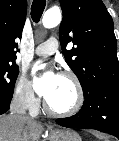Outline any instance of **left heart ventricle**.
<instances>
[{
    "label": "left heart ventricle",
    "mask_w": 119,
    "mask_h": 141,
    "mask_svg": "<svg viewBox=\"0 0 119 141\" xmlns=\"http://www.w3.org/2000/svg\"><path fill=\"white\" fill-rule=\"evenodd\" d=\"M76 99V93L72 82L59 76L52 93L46 98L48 104L56 110L70 108Z\"/></svg>",
    "instance_id": "obj_1"
}]
</instances>
